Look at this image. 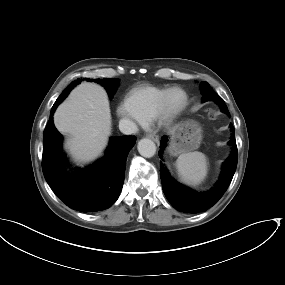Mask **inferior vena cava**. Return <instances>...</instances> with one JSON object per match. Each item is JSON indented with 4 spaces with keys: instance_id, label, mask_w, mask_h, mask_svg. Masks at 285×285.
Wrapping results in <instances>:
<instances>
[{
    "instance_id": "obj_1",
    "label": "inferior vena cava",
    "mask_w": 285,
    "mask_h": 285,
    "mask_svg": "<svg viewBox=\"0 0 285 285\" xmlns=\"http://www.w3.org/2000/svg\"><path fill=\"white\" fill-rule=\"evenodd\" d=\"M119 129L123 134L131 135L138 131L137 125L130 119L123 118L119 121Z\"/></svg>"
}]
</instances>
